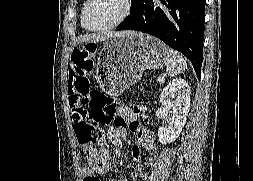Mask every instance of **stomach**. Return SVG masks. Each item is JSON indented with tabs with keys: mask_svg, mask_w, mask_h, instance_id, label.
<instances>
[{
	"mask_svg": "<svg viewBox=\"0 0 253 181\" xmlns=\"http://www.w3.org/2000/svg\"><path fill=\"white\" fill-rule=\"evenodd\" d=\"M166 45L150 35L132 32L109 38L97 60L99 86L110 95H119L137 83L146 69L166 64Z\"/></svg>",
	"mask_w": 253,
	"mask_h": 181,
	"instance_id": "obj_1",
	"label": "stomach"
}]
</instances>
